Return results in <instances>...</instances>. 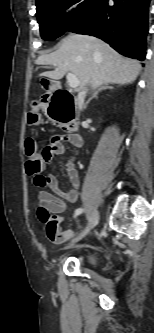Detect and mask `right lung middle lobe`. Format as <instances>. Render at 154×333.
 <instances>
[{"mask_svg": "<svg viewBox=\"0 0 154 333\" xmlns=\"http://www.w3.org/2000/svg\"><path fill=\"white\" fill-rule=\"evenodd\" d=\"M82 1L71 16L65 15L66 9ZM97 0H40L36 2L37 20L44 40L56 39L66 30L83 22ZM65 19L67 21L64 23Z\"/></svg>", "mask_w": 154, "mask_h": 333, "instance_id": "dd1d6c3e", "label": "right lung middle lobe"}]
</instances>
